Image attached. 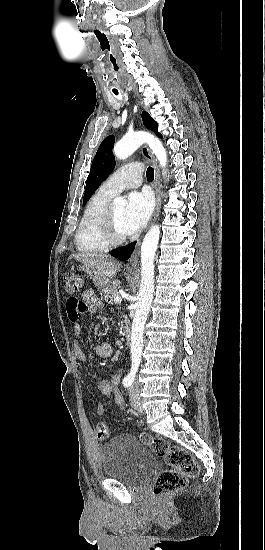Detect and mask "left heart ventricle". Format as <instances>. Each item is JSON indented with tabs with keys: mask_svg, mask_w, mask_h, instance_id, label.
Wrapping results in <instances>:
<instances>
[{
	"mask_svg": "<svg viewBox=\"0 0 265 550\" xmlns=\"http://www.w3.org/2000/svg\"><path fill=\"white\" fill-rule=\"evenodd\" d=\"M117 230L121 234H129L124 222L126 208L124 206L112 207Z\"/></svg>",
	"mask_w": 265,
	"mask_h": 550,
	"instance_id": "1",
	"label": "left heart ventricle"
}]
</instances>
